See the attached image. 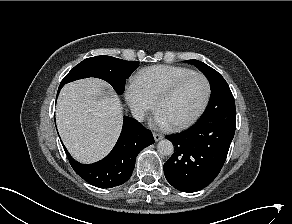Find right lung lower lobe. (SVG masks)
Masks as SVG:
<instances>
[{
    "label": "right lung lower lobe",
    "instance_id": "obj_1",
    "mask_svg": "<svg viewBox=\"0 0 292 224\" xmlns=\"http://www.w3.org/2000/svg\"><path fill=\"white\" fill-rule=\"evenodd\" d=\"M62 86H59L58 93ZM154 143L149 130L137 120L124 117L120 137L112 151L102 160L93 164L76 162L64 147L74 171L85 181L99 188H112L125 183L132 175L135 160L143 148Z\"/></svg>",
    "mask_w": 292,
    "mask_h": 224
}]
</instances>
